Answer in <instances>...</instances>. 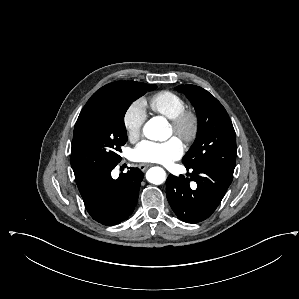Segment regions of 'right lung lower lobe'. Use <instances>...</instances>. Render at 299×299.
I'll use <instances>...</instances> for the list:
<instances>
[{"mask_svg":"<svg viewBox=\"0 0 299 299\" xmlns=\"http://www.w3.org/2000/svg\"><path fill=\"white\" fill-rule=\"evenodd\" d=\"M115 166L77 184L88 213L104 225L118 224L132 214L144 176L139 168H130L114 180L111 171Z\"/></svg>","mask_w":299,"mask_h":299,"instance_id":"right-lung-lower-lobe-1","label":"right lung lower lobe"}]
</instances>
